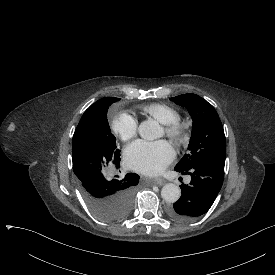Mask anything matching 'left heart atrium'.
I'll return each instance as SVG.
<instances>
[{
    "label": "left heart atrium",
    "mask_w": 275,
    "mask_h": 275,
    "mask_svg": "<svg viewBox=\"0 0 275 275\" xmlns=\"http://www.w3.org/2000/svg\"><path fill=\"white\" fill-rule=\"evenodd\" d=\"M173 158L174 150L164 140L138 141L125 151V159L129 167L146 174L161 172Z\"/></svg>",
    "instance_id": "39dd6f15"
}]
</instances>
